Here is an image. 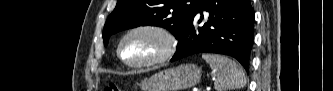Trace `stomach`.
<instances>
[{
    "mask_svg": "<svg viewBox=\"0 0 333 91\" xmlns=\"http://www.w3.org/2000/svg\"><path fill=\"white\" fill-rule=\"evenodd\" d=\"M201 79V69L195 64H182L159 71L144 79L143 91H181L195 86Z\"/></svg>",
    "mask_w": 333,
    "mask_h": 91,
    "instance_id": "0dacf381",
    "label": "stomach"
}]
</instances>
